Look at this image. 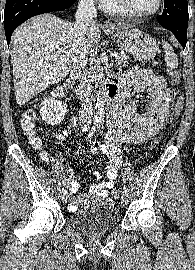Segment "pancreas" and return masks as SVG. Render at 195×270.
Wrapping results in <instances>:
<instances>
[{"mask_svg":"<svg viewBox=\"0 0 195 270\" xmlns=\"http://www.w3.org/2000/svg\"><path fill=\"white\" fill-rule=\"evenodd\" d=\"M117 65L125 66L127 65V55L126 54H118L116 57ZM101 66L99 64H95V66L90 67L89 72L87 73L90 82H96L102 78Z\"/></svg>","mask_w":195,"mask_h":270,"instance_id":"obj_1","label":"pancreas"}]
</instances>
